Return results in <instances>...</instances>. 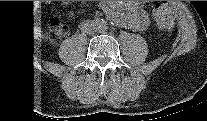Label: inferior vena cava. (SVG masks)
Wrapping results in <instances>:
<instances>
[{"label": "inferior vena cava", "mask_w": 207, "mask_h": 121, "mask_svg": "<svg viewBox=\"0 0 207 121\" xmlns=\"http://www.w3.org/2000/svg\"><path fill=\"white\" fill-rule=\"evenodd\" d=\"M84 30L87 34H93L96 31L94 23L90 24L88 27H85Z\"/></svg>", "instance_id": "1"}]
</instances>
